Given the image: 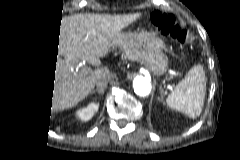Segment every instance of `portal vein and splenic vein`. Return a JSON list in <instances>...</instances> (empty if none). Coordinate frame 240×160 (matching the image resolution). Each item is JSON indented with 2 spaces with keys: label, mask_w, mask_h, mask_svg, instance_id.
<instances>
[{
  "label": "portal vein and splenic vein",
  "mask_w": 240,
  "mask_h": 160,
  "mask_svg": "<svg viewBox=\"0 0 240 160\" xmlns=\"http://www.w3.org/2000/svg\"><path fill=\"white\" fill-rule=\"evenodd\" d=\"M94 64L95 65H99L100 64V62H99V60H96L95 62H94ZM91 69L90 68H83L81 71H80V76H86V75H88L89 73H91Z\"/></svg>",
  "instance_id": "18ae733b"
}]
</instances>
